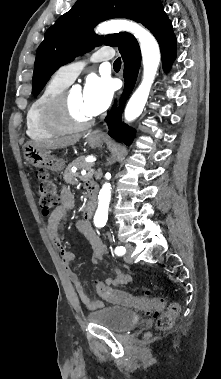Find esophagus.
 Returning <instances> with one entry per match:
<instances>
[{"instance_id": "1", "label": "esophagus", "mask_w": 221, "mask_h": 379, "mask_svg": "<svg viewBox=\"0 0 221 379\" xmlns=\"http://www.w3.org/2000/svg\"><path fill=\"white\" fill-rule=\"evenodd\" d=\"M94 135H96V136H100V135H102V131L97 130V131L94 132Z\"/></svg>"}]
</instances>
